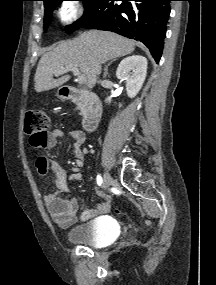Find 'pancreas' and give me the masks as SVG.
Here are the masks:
<instances>
[{"label":"pancreas","instance_id":"obj_1","mask_svg":"<svg viewBox=\"0 0 216 285\" xmlns=\"http://www.w3.org/2000/svg\"><path fill=\"white\" fill-rule=\"evenodd\" d=\"M78 108H79L81 111H83V110L85 109V107L82 106V105H79Z\"/></svg>","mask_w":216,"mask_h":285}]
</instances>
